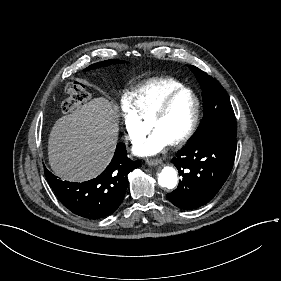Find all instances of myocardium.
<instances>
[{"label": "myocardium", "instance_id": "f54148a6", "mask_svg": "<svg viewBox=\"0 0 281 281\" xmlns=\"http://www.w3.org/2000/svg\"><path fill=\"white\" fill-rule=\"evenodd\" d=\"M184 94H189L194 99V113L186 131L179 138L170 142L169 144L171 146H180L186 143L193 136L197 128L201 111V103L199 97L193 90L189 88H183L172 93L155 109V111L145 121L147 130L151 131L154 124L164 115L172 102Z\"/></svg>", "mask_w": 281, "mask_h": 281}]
</instances>
